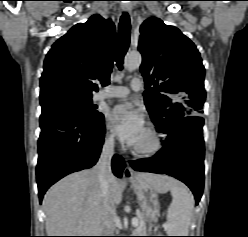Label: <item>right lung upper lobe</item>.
I'll return each mask as SVG.
<instances>
[{"mask_svg": "<svg viewBox=\"0 0 248 237\" xmlns=\"http://www.w3.org/2000/svg\"><path fill=\"white\" fill-rule=\"evenodd\" d=\"M115 26L93 15L73 26L51 47L40 80V104L59 97L91 99L94 83L109 84L114 62Z\"/></svg>", "mask_w": 248, "mask_h": 237, "instance_id": "obj_1", "label": "right lung upper lobe"}]
</instances>
